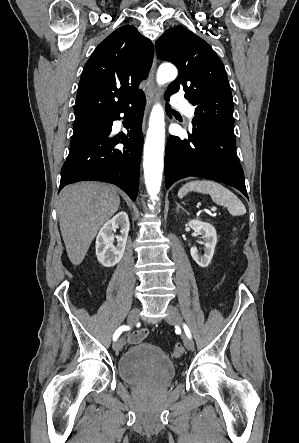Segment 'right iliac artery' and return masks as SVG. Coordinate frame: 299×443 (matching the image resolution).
Listing matches in <instances>:
<instances>
[{"label": "right iliac artery", "instance_id": "82829eb1", "mask_svg": "<svg viewBox=\"0 0 299 443\" xmlns=\"http://www.w3.org/2000/svg\"><path fill=\"white\" fill-rule=\"evenodd\" d=\"M129 329H130V327L127 326V325H122V326H120V327L115 331V333H114V335H113V341H116V340L118 339V337L121 335V333H122L123 331L129 330Z\"/></svg>", "mask_w": 299, "mask_h": 443}]
</instances>
